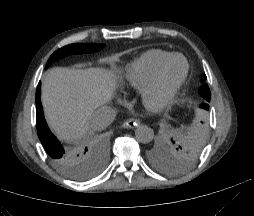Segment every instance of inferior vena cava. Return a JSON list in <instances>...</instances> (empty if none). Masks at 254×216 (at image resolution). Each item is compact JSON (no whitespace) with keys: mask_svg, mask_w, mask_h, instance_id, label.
I'll use <instances>...</instances> for the list:
<instances>
[{"mask_svg":"<svg viewBox=\"0 0 254 216\" xmlns=\"http://www.w3.org/2000/svg\"><path fill=\"white\" fill-rule=\"evenodd\" d=\"M116 113L112 107L102 106L94 111L89 119V125L93 130H103L114 121Z\"/></svg>","mask_w":254,"mask_h":216,"instance_id":"inferior-vena-cava-1","label":"inferior vena cava"}]
</instances>
